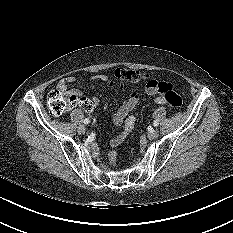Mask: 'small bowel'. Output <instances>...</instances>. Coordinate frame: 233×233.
Masks as SVG:
<instances>
[{"mask_svg": "<svg viewBox=\"0 0 233 233\" xmlns=\"http://www.w3.org/2000/svg\"><path fill=\"white\" fill-rule=\"evenodd\" d=\"M93 80L103 82L108 84L111 87H118L121 90L128 91V88L124 85H117L114 81H112L108 76L104 74L96 75L93 77ZM76 78L73 76H68L62 80H60L57 84V90L69 95L73 96L76 99V103L82 106L85 110L90 111L96 106L99 102L97 97L87 98L85 97L79 89L70 88V84L74 83ZM92 89H96L94 84H90ZM145 91L148 95H157L161 92L155 86L146 85ZM139 97L136 91H129L128 98L121 104L119 109L114 115L113 121L115 125L120 126L124 123L123 129L116 134L110 141L112 147L119 146L127 137V135L131 132L134 127V118L128 117L129 113L136 107L138 103ZM157 104H166L162 98V96H158L155 99ZM132 119V122L129 123V120Z\"/></svg>", "mask_w": 233, "mask_h": 233, "instance_id": "small-bowel-1", "label": "small bowel"}]
</instances>
